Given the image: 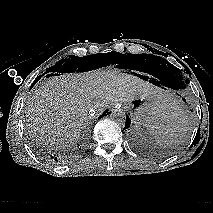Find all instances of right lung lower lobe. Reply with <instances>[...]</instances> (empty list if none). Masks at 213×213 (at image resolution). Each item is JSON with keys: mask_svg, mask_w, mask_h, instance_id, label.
Returning a JSON list of instances; mask_svg holds the SVG:
<instances>
[{"mask_svg": "<svg viewBox=\"0 0 213 213\" xmlns=\"http://www.w3.org/2000/svg\"><path fill=\"white\" fill-rule=\"evenodd\" d=\"M52 75H54V74H52ZM55 75H58V74H55ZM40 79V77H37L36 78V80H35V82H37L38 80ZM35 84V83H34ZM34 84H32V86L34 85ZM107 113V114H106ZM109 113H108V110H105L104 112H103V114L100 116V117H103V116H105V115H108ZM70 156V154H68V153H66V154H54V155H51L50 157L52 158V159H54L55 161H60V160H62V159H64V158H66V157H69Z\"/></svg>", "mask_w": 213, "mask_h": 213, "instance_id": "1", "label": "right lung lower lobe"}]
</instances>
